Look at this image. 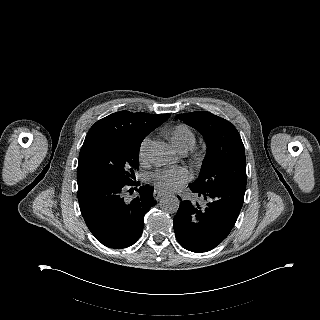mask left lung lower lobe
<instances>
[{
	"instance_id": "0a47b994",
	"label": "left lung lower lobe",
	"mask_w": 320,
	"mask_h": 320,
	"mask_svg": "<svg viewBox=\"0 0 320 320\" xmlns=\"http://www.w3.org/2000/svg\"><path fill=\"white\" fill-rule=\"evenodd\" d=\"M189 187L207 204L201 207L181 200L173 220L174 231L182 247L202 253L215 248L229 235L242 208L246 186L226 183L208 190Z\"/></svg>"
}]
</instances>
